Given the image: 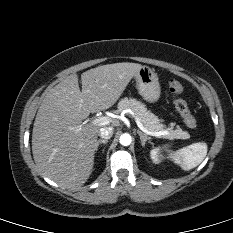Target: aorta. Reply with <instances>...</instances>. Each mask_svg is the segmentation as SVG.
Listing matches in <instances>:
<instances>
[{
    "label": "aorta",
    "mask_w": 233,
    "mask_h": 233,
    "mask_svg": "<svg viewBox=\"0 0 233 233\" xmlns=\"http://www.w3.org/2000/svg\"><path fill=\"white\" fill-rule=\"evenodd\" d=\"M119 142L123 146H129L132 142V138L129 134L125 133L120 136Z\"/></svg>",
    "instance_id": "1"
}]
</instances>
